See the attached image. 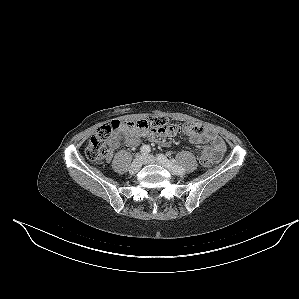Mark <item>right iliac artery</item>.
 Segmentation results:
<instances>
[{
  "mask_svg": "<svg viewBox=\"0 0 299 299\" xmlns=\"http://www.w3.org/2000/svg\"><path fill=\"white\" fill-rule=\"evenodd\" d=\"M151 151V148L149 145H143L141 148H140V152L142 154H148L149 152Z\"/></svg>",
  "mask_w": 299,
  "mask_h": 299,
  "instance_id": "obj_1",
  "label": "right iliac artery"
}]
</instances>
